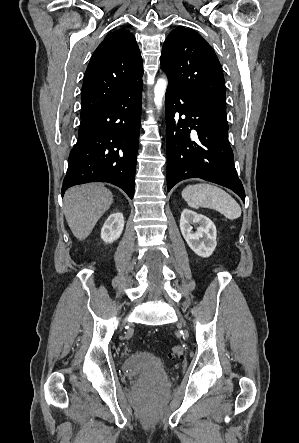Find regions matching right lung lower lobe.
I'll use <instances>...</instances> for the list:
<instances>
[{"label": "right lung lower lobe", "mask_w": 299, "mask_h": 443, "mask_svg": "<svg viewBox=\"0 0 299 443\" xmlns=\"http://www.w3.org/2000/svg\"><path fill=\"white\" fill-rule=\"evenodd\" d=\"M142 84L81 118L61 190L93 181L112 183L132 199L141 122Z\"/></svg>", "instance_id": "right-lung-lower-lobe-1"}]
</instances>
